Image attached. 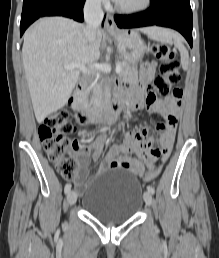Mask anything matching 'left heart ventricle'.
Returning <instances> with one entry per match:
<instances>
[{"label":"left heart ventricle","mask_w":219,"mask_h":258,"mask_svg":"<svg viewBox=\"0 0 219 258\" xmlns=\"http://www.w3.org/2000/svg\"><path fill=\"white\" fill-rule=\"evenodd\" d=\"M143 0H118L117 2L124 6H137L139 5Z\"/></svg>","instance_id":"1"}]
</instances>
